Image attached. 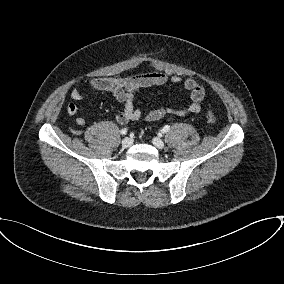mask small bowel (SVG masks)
Instances as JSON below:
<instances>
[{
    "label": "small bowel",
    "mask_w": 284,
    "mask_h": 284,
    "mask_svg": "<svg viewBox=\"0 0 284 284\" xmlns=\"http://www.w3.org/2000/svg\"><path fill=\"white\" fill-rule=\"evenodd\" d=\"M167 83H182L183 88L189 92L188 105L182 109L161 107L151 110L145 115L147 121H158L169 114L184 116L191 113H198L201 110L205 88L193 78L182 80L180 76L176 75L170 77L163 72H148L127 77L93 78L90 80L89 85L97 91L111 93L118 102L123 104V109L116 115V122L120 125H125L130 121L140 119L143 115V112L134 106L135 92L142 88L161 86ZM70 96L74 102L68 104L67 112L70 115H74L79 110L76 102L83 101L86 96L76 88L71 91ZM76 122L78 125L83 126L86 123V119L83 116H79Z\"/></svg>",
    "instance_id": "1"
}]
</instances>
